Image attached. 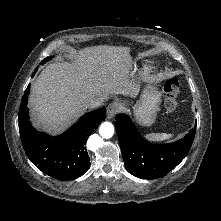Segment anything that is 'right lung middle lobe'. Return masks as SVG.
Masks as SVG:
<instances>
[{
	"instance_id": "obj_1",
	"label": "right lung middle lobe",
	"mask_w": 221,
	"mask_h": 221,
	"mask_svg": "<svg viewBox=\"0 0 221 221\" xmlns=\"http://www.w3.org/2000/svg\"><path fill=\"white\" fill-rule=\"evenodd\" d=\"M51 58H52V57H47V58H45L40 64H44L45 62L49 61ZM36 70H37V69H36ZM36 70H35V71H36Z\"/></svg>"
}]
</instances>
